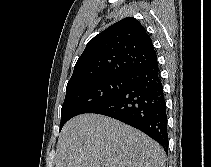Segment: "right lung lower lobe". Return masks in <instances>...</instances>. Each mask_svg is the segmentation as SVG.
Wrapping results in <instances>:
<instances>
[{"mask_svg":"<svg viewBox=\"0 0 211 167\" xmlns=\"http://www.w3.org/2000/svg\"><path fill=\"white\" fill-rule=\"evenodd\" d=\"M128 86L114 100L93 113L135 127L157 141L167 152V114L157 59L126 76Z\"/></svg>","mask_w":211,"mask_h":167,"instance_id":"obj_1","label":"right lung lower lobe"}]
</instances>
